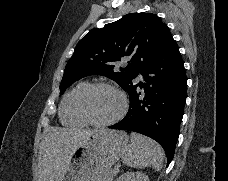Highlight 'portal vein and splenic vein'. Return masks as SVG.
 <instances>
[{"instance_id":"18ae733b","label":"portal vein and splenic vein","mask_w":228,"mask_h":181,"mask_svg":"<svg viewBox=\"0 0 228 181\" xmlns=\"http://www.w3.org/2000/svg\"><path fill=\"white\" fill-rule=\"evenodd\" d=\"M111 168L115 169L116 174H121V168L119 166H117L116 164H112Z\"/></svg>"}]
</instances>
